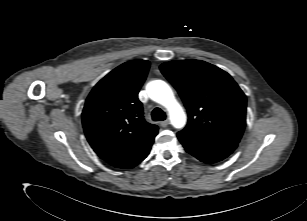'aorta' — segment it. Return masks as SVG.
Segmentation results:
<instances>
[{"label":"aorta","instance_id":"obj_1","mask_svg":"<svg viewBox=\"0 0 307 221\" xmlns=\"http://www.w3.org/2000/svg\"><path fill=\"white\" fill-rule=\"evenodd\" d=\"M147 93L153 101L167 109L171 124L175 128H182L185 125L186 114L166 82L162 80L149 82L147 84Z\"/></svg>","mask_w":307,"mask_h":221}]
</instances>
